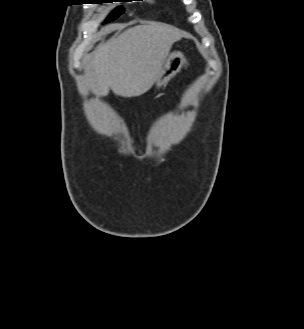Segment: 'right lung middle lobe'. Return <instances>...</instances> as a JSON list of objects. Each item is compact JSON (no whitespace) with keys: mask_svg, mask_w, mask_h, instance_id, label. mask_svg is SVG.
Wrapping results in <instances>:
<instances>
[{"mask_svg":"<svg viewBox=\"0 0 304 329\" xmlns=\"http://www.w3.org/2000/svg\"><path fill=\"white\" fill-rule=\"evenodd\" d=\"M122 1H128V0H122ZM123 8L119 7L117 9H115L111 14L110 16L107 18L106 22H110L114 19H116L120 14L123 13Z\"/></svg>","mask_w":304,"mask_h":329,"instance_id":"right-lung-middle-lobe-1","label":"right lung middle lobe"}]
</instances>
